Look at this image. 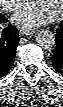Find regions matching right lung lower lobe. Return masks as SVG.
Segmentation results:
<instances>
[{
  "mask_svg": "<svg viewBox=\"0 0 63 107\" xmlns=\"http://www.w3.org/2000/svg\"><path fill=\"white\" fill-rule=\"evenodd\" d=\"M5 21L4 16L0 14V23ZM18 42L19 37L15 26L10 25L0 32V78L9 72L13 65Z\"/></svg>",
  "mask_w": 63,
  "mask_h": 107,
  "instance_id": "98d812e1",
  "label": "right lung lower lobe"
}]
</instances>
